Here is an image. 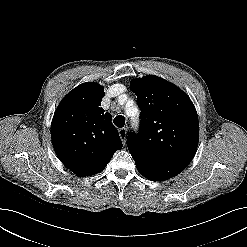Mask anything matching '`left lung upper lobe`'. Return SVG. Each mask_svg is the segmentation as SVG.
<instances>
[{"instance_id": "left-lung-upper-lobe-1", "label": "left lung upper lobe", "mask_w": 247, "mask_h": 247, "mask_svg": "<svg viewBox=\"0 0 247 247\" xmlns=\"http://www.w3.org/2000/svg\"><path fill=\"white\" fill-rule=\"evenodd\" d=\"M131 90L141 109V128L128 136L130 154L152 163L186 168L199 141L198 116L190 98L154 75L132 80Z\"/></svg>"}]
</instances>
